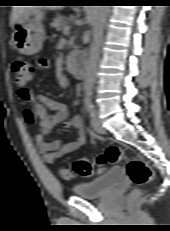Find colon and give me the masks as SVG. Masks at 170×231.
Returning a JSON list of instances; mask_svg holds the SVG:
<instances>
[{
  "label": "colon",
  "mask_w": 170,
  "mask_h": 231,
  "mask_svg": "<svg viewBox=\"0 0 170 231\" xmlns=\"http://www.w3.org/2000/svg\"><path fill=\"white\" fill-rule=\"evenodd\" d=\"M11 70L17 89L26 88L35 73L34 66L23 58L14 59L11 64ZM122 161L126 162L127 174L137 187H142L152 182L154 172L151 167L138 157H128L125 151L116 145L109 146L97 158L95 163L85 157L75 159L72 168L60 167L58 175L62 180L71 182L77 176H93L100 172L102 165L105 163L117 164ZM137 193L138 188L133 191L132 196H135Z\"/></svg>",
  "instance_id": "1"
}]
</instances>
